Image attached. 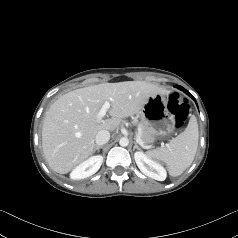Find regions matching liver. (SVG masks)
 Returning <instances> with one entry per match:
<instances>
[{"label": "liver", "instance_id": "obj_1", "mask_svg": "<svg viewBox=\"0 0 238 238\" xmlns=\"http://www.w3.org/2000/svg\"><path fill=\"white\" fill-rule=\"evenodd\" d=\"M168 93L144 81L102 83L68 92L46 112L42 126V148L49 166L66 174L94 152L101 130L114 131L123 118L139 113L150 96ZM108 101L109 119L97 117Z\"/></svg>", "mask_w": 238, "mask_h": 238}]
</instances>
